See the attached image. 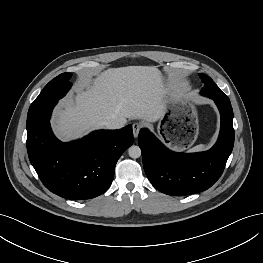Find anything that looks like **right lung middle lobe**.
<instances>
[{
    "mask_svg": "<svg viewBox=\"0 0 263 263\" xmlns=\"http://www.w3.org/2000/svg\"><path fill=\"white\" fill-rule=\"evenodd\" d=\"M71 76V73H63L51 80L31 104L27 116L48 107L62 98L71 87L69 81Z\"/></svg>",
    "mask_w": 263,
    "mask_h": 263,
    "instance_id": "1",
    "label": "right lung middle lobe"
}]
</instances>
